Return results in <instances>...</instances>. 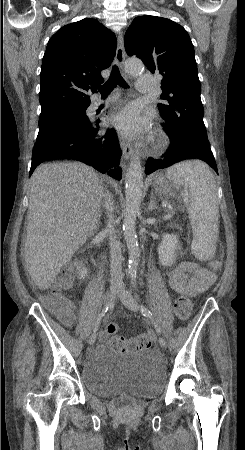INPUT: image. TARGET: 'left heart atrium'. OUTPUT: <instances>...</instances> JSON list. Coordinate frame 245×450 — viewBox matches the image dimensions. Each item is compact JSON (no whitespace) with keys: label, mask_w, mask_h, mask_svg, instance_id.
Wrapping results in <instances>:
<instances>
[{"label":"left heart atrium","mask_w":245,"mask_h":450,"mask_svg":"<svg viewBox=\"0 0 245 450\" xmlns=\"http://www.w3.org/2000/svg\"><path fill=\"white\" fill-rule=\"evenodd\" d=\"M149 122L150 116L143 114L137 104H130L109 118V123L127 138L144 133L148 129Z\"/></svg>","instance_id":"39dd6f15"}]
</instances>
